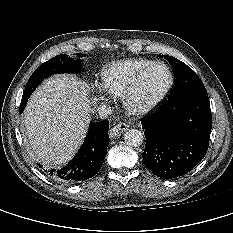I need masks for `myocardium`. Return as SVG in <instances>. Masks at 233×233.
Wrapping results in <instances>:
<instances>
[{"label":"myocardium","mask_w":233,"mask_h":233,"mask_svg":"<svg viewBox=\"0 0 233 233\" xmlns=\"http://www.w3.org/2000/svg\"><path fill=\"white\" fill-rule=\"evenodd\" d=\"M155 66H162L167 70L169 76L167 85L151 102L142 106L134 105L132 102V96L134 92L140 85L146 73ZM173 83H174V76L170 67L164 62L154 61L148 64L147 66H145L144 68H142L131 80V82L127 85V87L125 88L124 92L121 95L123 106L127 110V112L132 115L143 116L149 114L150 112L155 110L160 105V103L166 98V96L168 95V93L170 92L173 86Z\"/></svg>","instance_id":"1"}]
</instances>
